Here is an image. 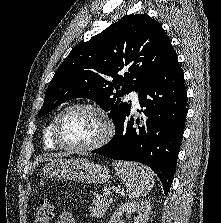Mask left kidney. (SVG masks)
<instances>
[{
  "mask_svg": "<svg viewBox=\"0 0 221 223\" xmlns=\"http://www.w3.org/2000/svg\"><path fill=\"white\" fill-rule=\"evenodd\" d=\"M150 204L147 201L126 202L121 205L111 216L109 223H123L122 216L136 212L133 223H147L150 215Z\"/></svg>",
  "mask_w": 221,
  "mask_h": 223,
  "instance_id": "1",
  "label": "left kidney"
}]
</instances>
